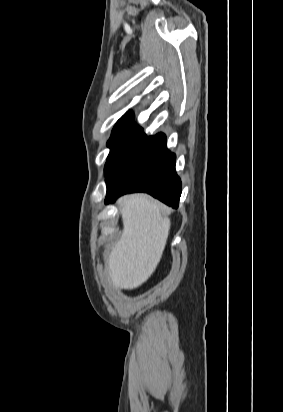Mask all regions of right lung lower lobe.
<instances>
[{"mask_svg":"<svg viewBox=\"0 0 283 412\" xmlns=\"http://www.w3.org/2000/svg\"><path fill=\"white\" fill-rule=\"evenodd\" d=\"M175 154L166 148V136H145L106 178L105 203L132 192H146L165 204L177 208L181 180L175 171Z\"/></svg>","mask_w":283,"mask_h":412,"instance_id":"obj_1","label":"right lung lower lobe"}]
</instances>
